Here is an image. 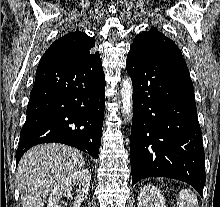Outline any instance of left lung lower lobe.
Wrapping results in <instances>:
<instances>
[{"label": "left lung lower lobe", "instance_id": "1", "mask_svg": "<svg viewBox=\"0 0 220 207\" xmlns=\"http://www.w3.org/2000/svg\"><path fill=\"white\" fill-rule=\"evenodd\" d=\"M126 69L133 82L132 184L147 177L174 178L203 197L205 155L185 60L130 48Z\"/></svg>", "mask_w": 220, "mask_h": 207}]
</instances>
